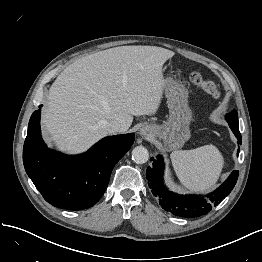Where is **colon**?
Listing matches in <instances>:
<instances>
[{
    "instance_id": "5ec220e1",
    "label": "colon",
    "mask_w": 262,
    "mask_h": 262,
    "mask_svg": "<svg viewBox=\"0 0 262 262\" xmlns=\"http://www.w3.org/2000/svg\"><path fill=\"white\" fill-rule=\"evenodd\" d=\"M191 81L194 85L203 89L213 99H218L220 97L218 87L213 82L205 80L200 74H192Z\"/></svg>"
}]
</instances>
